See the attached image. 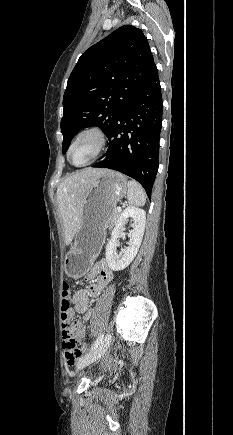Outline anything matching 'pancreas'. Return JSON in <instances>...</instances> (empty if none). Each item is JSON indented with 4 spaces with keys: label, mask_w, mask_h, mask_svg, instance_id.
<instances>
[{
    "label": "pancreas",
    "mask_w": 233,
    "mask_h": 435,
    "mask_svg": "<svg viewBox=\"0 0 233 435\" xmlns=\"http://www.w3.org/2000/svg\"><path fill=\"white\" fill-rule=\"evenodd\" d=\"M119 215H120V212L114 209V211L112 212V214L110 216V223L109 224L112 225L113 223H115L116 220L118 219Z\"/></svg>",
    "instance_id": "obj_1"
}]
</instances>
